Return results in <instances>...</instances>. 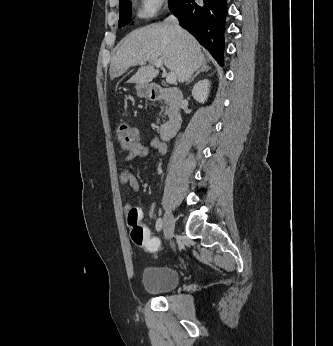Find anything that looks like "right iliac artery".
Instances as JSON below:
<instances>
[{
  "label": "right iliac artery",
  "mask_w": 333,
  "mask_h": 346,
  "mask_svg": "<svg viewBox=\"0 0 333 346\" xmlns=\"http://www.w3.org/2000/svg\"><path fill=\"white\" fill-rule=\"evenodd\" d=\"M162 225H163L162 219H161V218H158L157 221H156V230H157L158 232L161 231Z\"/></svg>",
  "instance_id": "82829eb1"
}]
</instances>
